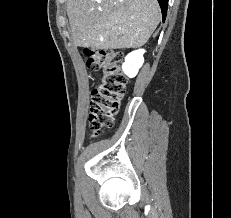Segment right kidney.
<instances>
[{
  "label": "right kidney",
  "mask_w": 231,
  "mask_h": 218,
  "mask_svg": "<svg viewBox=\"0 0 231 218\" xmlns=\"http://www.w3.org/2000/svg\"><path fill=\"white\" fill-rule=\"evenodd\" d=\"M145 50L139 49L129 53L125 57V62L122 65L124 73L129 77H135L144 63L143 54Z\"/></svg>",
  "instance_id": "1"
}]
</instances>
